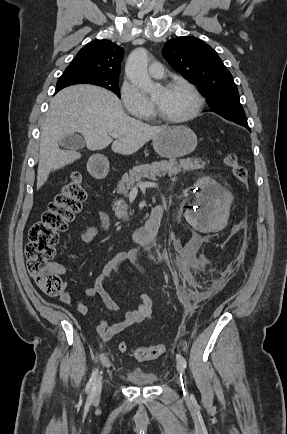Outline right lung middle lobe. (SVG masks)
Returning a JSON list of instances; mask_svg holds the SVG:
<instances>
[{"instance_id":"dd1d6c3e","label":"right lung middle lobe","mask_w":287,"mask_h":434,"mask_svg":"<svg viewBox=\"0 0 287 434\" xmlns=\"http://www.w3.org/2000/svg\"><path fill=\"white\" fill-rule=\"evenodd\" d=\"M119 78L90 76L88 74L66 69L58 79L56 88H64L73 84H94L114 92L120 98Z\"/></svg>"}]
</instances>
